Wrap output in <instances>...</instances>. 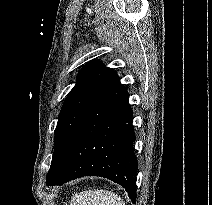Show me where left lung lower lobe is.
I'll use <instances>...</instances> for the list:
<instances>
[{
    "instance_id": "obj_1",
    "label": "left lung lower lobe",
    "mask_w": 212,
    "mask_h": 205,
    "mask_svg": "<svg viewBox=\"0 0 212 205\" xmlns=\"http://www.w3.org/2000/svg\"><path fill=\"white\" fill-rule=\"evenodd\" d=\"M128 99L116 75L82 121L56 180L49 186L83 176H100L124 187L135 203L138 163Z\"/></svg>"
}]
</instances>
